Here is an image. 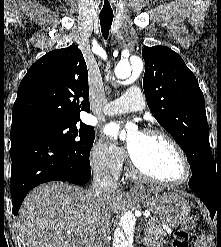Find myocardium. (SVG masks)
<instances>
[{
    "label": "myocardium",
    "mask_w": 221,
    "mask_h": 247,
    "mask_svg": "<svg viewBox=\"0 0 221 247\" xmlns=\"http://www.w3.org/2000/svg\"><path fill=\"white\" fill-rule=\"evenodd\" d=\"M140 133L150 136V137L163 139L169 144H171L181 157L185 174H184V177L179 181L172 182V181L162 180L154 176L153 174L147 172L137 162V160L133 157L131 152L128 151V161H129V166H130L132 173L143 180L153 182V183L163 185V186H182V185L187 184L192 177V168H191L190 161L184 149L181 147V145L171 135L159 129L146 128V129H143Z\"/></svg>",
    "instance_id": "myocardium-1"
}]
</instances>
